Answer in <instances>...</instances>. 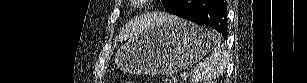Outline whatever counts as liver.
<instances>
[{
	"instance_id": "liver-1",
	"label": "liver",
	"mask_w": 307,
	"mask_h": 83,
	"mask_svg": "<svg viewBox=\"0 0 307 83\" xmlns=\"http://www.w3.org/2000/svg\"><path fill=\"white\" fill-rule=\"evenodd\" d=\"M172 18H174V16L160 14L159 16H152L146 19L136 20L132 23L127 24L122 29L119 34V40H123L126 38H134L135 36H138V34L141 32V29H143V25L146 23H159L166 20H170Z\"/></svg>"
}]
</instances>
